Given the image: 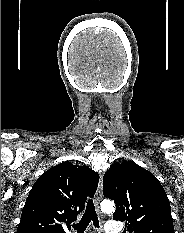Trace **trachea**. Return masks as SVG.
I'll list each match as a JSON object with an SVG mask.
<instances>
[{"mask_svg": "<svg viewBox=\"0 0 184 233\" xmlns=\"http://www.w3.org/2000/svg\"><path fill=\"white\" fill-rule=\"evenodd\" d=\"M91 221H93L95 227L99 228V220L95 211L93 200L88 201L81 221L77 224H73L72 227L77 231V233H84Z\"/></svg>", "mask_w": 184, "mask_h": 233, "instance_id": "trachea-1", "label": "trachea"}]
</instances>
